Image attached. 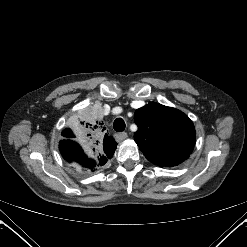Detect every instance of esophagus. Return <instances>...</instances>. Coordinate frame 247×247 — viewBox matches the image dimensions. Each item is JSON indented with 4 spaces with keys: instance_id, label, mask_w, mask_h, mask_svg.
I'll return each instance as SVG.
<instances>
[{
    "instance_id": "34e87169",
    "label": "esophagus",
    "mask_w": 247,
    "mask_h": 247,
    "mask_svg": "<svg viewBox=\"0 0 247 247\" xmlns=\"http://www.w3.org/2000/svg\"><path fill=\"white\" fill-rule=\"evenodd\" d=\"M127 137H128V134L126 132L116 134V138L119 141H122V140L126 139Z\"/></svg>"
}]
</instances>
